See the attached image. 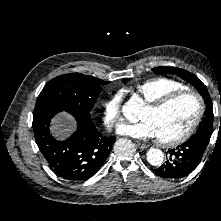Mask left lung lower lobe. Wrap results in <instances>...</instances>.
<instances>
[{"label":"left lung lower lobe","mask_w":221,"mask_h":221,"mask_svg":"<svg viewBox=\"0 0 221 221\" xmlns=\"http://www.w3.org/2000/svg\"><path fill=\"white\" fill-rule=\"evenodd\" d=\"M209 140V133H195L185 143L168 151V160L153 171L167 179H179L189 175L200 163Z\"/></svg>","instance_id":"left-lung-lower-lobe-1"}]
</instances>
